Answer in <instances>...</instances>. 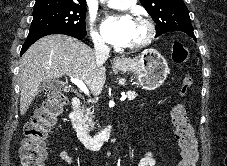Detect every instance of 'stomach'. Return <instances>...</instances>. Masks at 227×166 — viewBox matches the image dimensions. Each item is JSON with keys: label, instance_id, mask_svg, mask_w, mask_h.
Here are the masks:
<instances>
[{"label": "stomach", "instance_id": "stomach-1", "mask_svg": "<svg viewBox=\"0 0 227 166\" xmlns=\"http://www.w3.org/2000/svg\"><path fill=\"white\" fill-rule=\"evenodd\" d=\"M116 69L135 74L145 90L160 87L170 72L167 60L156 49H148L135 58H126Z\"/></svg>", "mask_w": 227, "mask_h": 166}]
</instances>
